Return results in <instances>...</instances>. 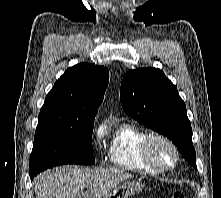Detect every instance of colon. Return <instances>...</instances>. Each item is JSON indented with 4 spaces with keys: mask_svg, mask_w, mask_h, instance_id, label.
Instances as JSON below:
<instances>
[{
    "mask_svg": "<svg viewBox=\"0 0 221 198\" xmlns=\"http://www.w3.org/2000/svg\"><path fill=\"white\" fill-rule=\"evenodd\" d=\"M170 198H186L181 191H174Z\"/></svg>",
    "mask_w": 221,
    "mask_h": 198,
    "instance_id": "obj_1",
    "label": "colon"
}]
</instances>
